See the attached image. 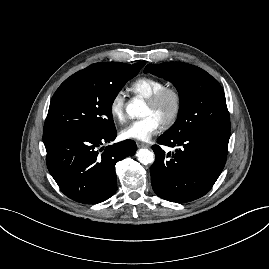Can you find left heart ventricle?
Instances as JSON below:
<instances>
[{
  "mask_svg": "<svg viewBox=\"0 0 269 269\" xmlns=\"http://www.w3.org/2000/svg\"><path fill=\"white\" fill-rule=\"evenodd\" d=\"M172 108L173 100L171 97L167 96L156 107H151L146 103L142 111V116L153 115L162 123L169 116Z\"/></svg>",
  "mask_w": 269,
  "mask_h": 269,
  "instance_id": "1",
  "label": "left heart ventricle"
}]
</instances>
